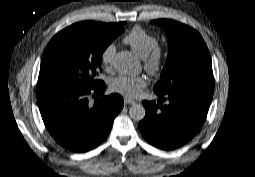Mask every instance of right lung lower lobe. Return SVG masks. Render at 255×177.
Returning <instances> with one entry per match:
<instances>
[{"label": "right lung lower lobe", "mask_w": 255, "mask_h": 177, "mask_svg": "<svg viewBox=\"0 0 255 177\" xmlns=\"http://www.w3.org/2000/svg\"><path fill=\"white\" fill-rule=\"evenodd\" d=\"M105 88L101 81L91 89L62 86L37 89L44 124L60 145L75 152H86L108 136L123 106V98L112 94L101 96L94 105L88 103L90 94H102Z\"/></svg>", "instance_id": "98d812e1"}]
</instances>
